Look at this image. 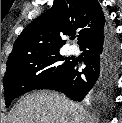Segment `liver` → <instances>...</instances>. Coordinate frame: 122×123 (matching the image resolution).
Wrapping results in <instances>:
<instances>
[{
  "label": "liver",
  "mask_w": 122,
  "mask_h": 123,
  "mask_svg": "<svg viewBox=\"0 0 122 123\" xmlns=\"http://www.w3.org/2000/svg\"><path fill=\"white\" fill-rule=\"evenodd\" d=\"M81 104L58 92L40 90L27 94L15 105L10 123H94Z\"/></svg>",
  "instance_id": "liver-1"
}]
</instances>
